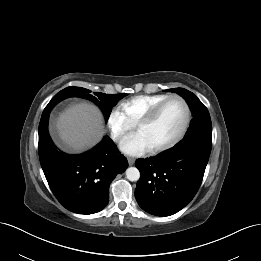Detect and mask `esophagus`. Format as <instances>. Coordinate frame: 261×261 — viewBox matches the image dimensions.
Listing matches in <instances>:
<instances>
[{"instance_id": "obj_1", "label": "esophagus", "mask_w": 261, "mask_h": 261, "mask_svg": "<svg viewBox=\"0 0 261 261\" xmlns=\"http://www.w3.org/2000/svg\"><path fill=\"white\" fill-rule=\"evenodd\" d=\"M129 165H133L135 163V159L132 157L127 158Z\"/></svg>"}]
</instances>
